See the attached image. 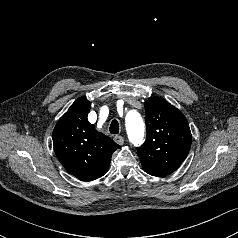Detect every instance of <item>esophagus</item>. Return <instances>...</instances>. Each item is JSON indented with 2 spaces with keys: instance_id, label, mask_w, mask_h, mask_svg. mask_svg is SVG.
<instances>
[{
  "instance_id": "1",
  "label": "esophagus",
  "mask_w": 238,
  "mask_h": 238,
  "mask_svg": "<svg viewBox=\"0 0 238 238\" xmlns=\"http://www.w3.org/2000/svg\"><path fill=\"white\" fill-rule=\"evenodd\" d=\"M114 141L119 144L122 145L124 143V138L120 135H115L114 136Z\"/></svg>"
}]
</instances>
